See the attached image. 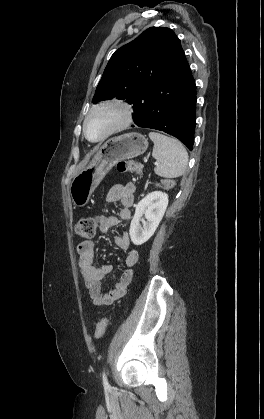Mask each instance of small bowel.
I'll list each match as a JSON object with an SVG mask.
<instances>
[{
    "label": "small bowel",
    "mask_w": 264,
    "mask_h": 419,
    "mask_svg": "<svg viewBox=\"0 0 264 419\" xmlns=\"http://www.w3.org/2000/svg\"><path fill=\"white\" fill-rule=\"evenodd\" d=\"M135 190L136 186L132 182L116 184L111 187L107 193L106 201L109 203L119 201L122 209L118 216L112 215L100 219L98 227L101 232H109L113 227L130 218V208L134 203ZM114 240L119 248L127 251L125 268L115 285L105 293L102 292V280L112 272V266L108 264L95 266L94 243L92 241H82L77 246L78 266L83 282L93 304L99 307L110 305L125 294L133 278V268L139 259V253L131 247L130 239L126 233L115 236Z\"/></svg>",
    "instance_id": "small-bowel-1"
}]
</instances>
